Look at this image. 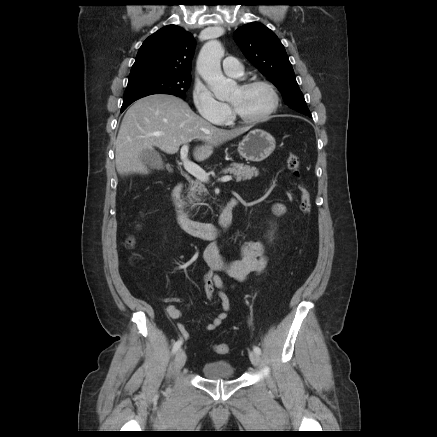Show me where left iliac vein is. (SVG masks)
Here are the masks:
<instances>
[{"mask_svg":"<svg viewBox=\"0 0 437 437\" xmlns=\"http://www.w3.org/2000/svg\"><path fill=\"white\" fill-rule=\"evenodd\" d=\"M249 358H250L251 363H252L254 366H258V365H259V362H260V355H259L258 353H256L255 351H251V352L249 353Z\"/></svg>","mask_w":437,"mask_h":437,"instance_id":"4c4485c4","label":"left iliac vein"}]
</instances>
